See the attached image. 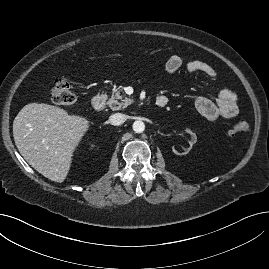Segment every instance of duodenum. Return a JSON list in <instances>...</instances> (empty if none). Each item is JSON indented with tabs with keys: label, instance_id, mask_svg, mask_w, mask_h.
Instances as JSON below:
<instances>
[{
	"label": "duodenum",
	"instance_id": "duodenum-1",
	"mask_svg": "<svg viewBox=\"0 0 269 269\" xmlns=\"http://www.w3.org/2000/svg\"><path fill=\"white\" fill-rule=\"evenodd\" d=\"M167 102H168L167 98L165 96L160 95L156 98L155 104L158 108H164L167 105ZM91 104L92 108L95 111H101L105 107L106 98L101 94H97L92 98Z\"/></svg>",
	"mask_w": 269,
	"mask_h": 269
}]
</instances>
